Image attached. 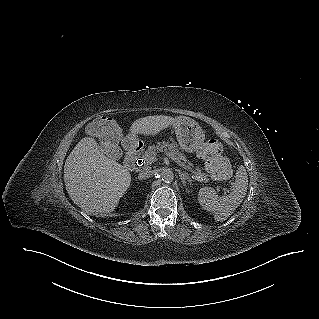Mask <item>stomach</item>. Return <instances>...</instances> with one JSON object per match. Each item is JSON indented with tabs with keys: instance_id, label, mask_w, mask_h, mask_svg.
<instances>
[{
	"instance_id": "obj_1",
	"label": "stomach",
	"mask_w": 319,
	"mask_h": 319,
	"mask_svg": "<svg viewBox=\"0 0 319 319\" xmlns=\"http://www.w3.org/2000/svg\"><path fill=\"white\" fill-rule=\"evenodd\" d=\"M180 147L188 152L197 151L205 140L202 128L197 122L187 117H179L173 124Z\"/></svg>"
}]
</instances>
